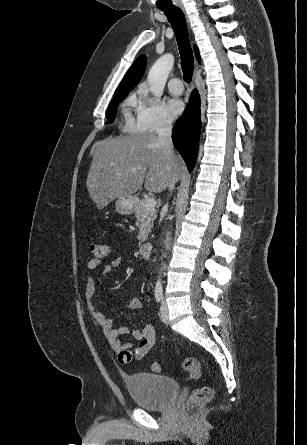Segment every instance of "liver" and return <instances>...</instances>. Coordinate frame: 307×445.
<instances>
[{
	"label": "liver",
	"mask_w": 307,
	"mask_h": 445,
	"mask_svg": "<svg viewBox=\"0 0 307 445\" xmlns=\"http://www.w3.org/2000/svg\"><path fill=\"white\" fill-rule=\"evenodd\" d=\"M94 146L86 186L98 210L114 198L132 196L141 188L144 178L147 190L162 192L171 184L173 176L181 172L180 156L160 144L153 132L117 138L108 136ZM133 166L139 170L132 172Z\"/></svg>",
	"instance_id": "liver-1"
}]
</instances>
